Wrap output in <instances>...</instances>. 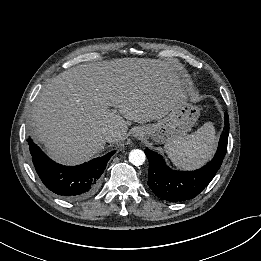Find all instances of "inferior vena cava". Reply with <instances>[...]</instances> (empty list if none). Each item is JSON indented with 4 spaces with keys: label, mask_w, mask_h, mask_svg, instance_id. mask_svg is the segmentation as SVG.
I'll list each match as a JSON object with an SVG mask.
<instances>
[{
    "label": "inferior vena cava",
    "mask_w": 261,
    "mask_h": 261,
    "mask_svg": "<svg viewBox=\"0 0 261 261\" xmlns=\"http://www.w3.org/2000/svg\"><path fill=\"white\" fill-rule=\"evenodd\" d=\"M118 137H119V134L115 130H113V129L105 130V139L108 142L115 141L118 139Z\"/></svg>",
    "instance_id": "602c4592"
}]
</instances>
